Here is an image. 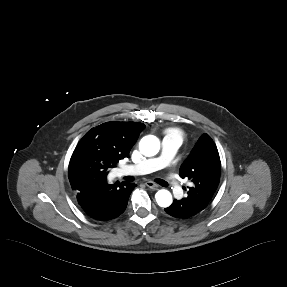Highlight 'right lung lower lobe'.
<instances>
[{
	"label": "right lung lower lobe",
	"instance_id": "1",
	"mask_svg": "<svg viewBox=\"0 0 287 287\" xmlns=\"http://www.w3.org/2000/svg\"><path fill=\"white\" fill-rule=\"evenodd\" d=\"M135 184H108L106 178H92L80 182L74 195L81 210L89 217L107 221L122 214Z\"/></svg>",
	"mask_w": 287,
	"mask_h": 287
}]
</instances>
